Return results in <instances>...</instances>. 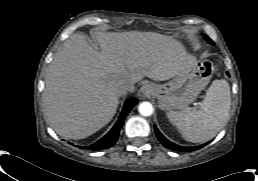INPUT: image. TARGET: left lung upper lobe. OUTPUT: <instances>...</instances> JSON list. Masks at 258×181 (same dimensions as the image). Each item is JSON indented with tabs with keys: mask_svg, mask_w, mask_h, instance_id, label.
Instances as JSON below:
<instances>
[{
	"mask_svg": "<svg viewBox=\"0 0 258 181\" xmlns=\"http://www.w3.org/2000/svg\"><path fill=\"white\" fill-rule=\"evenodd\" d=\"M206 39L208 42L212 43V40L208 36H206Z\"/></svg>",
	"mask_w": 258,
	"mask_h": 181,
	"instance_id": "left-lung-upper-lobe-1",
	"label": "left lung upper lobe"
}]
</instances>
